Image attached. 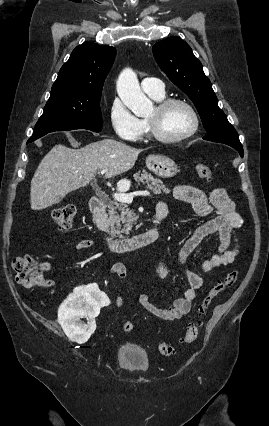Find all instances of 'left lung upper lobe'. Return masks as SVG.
<instances>
[{
    "label": "left lung upper lobe",
    "instance_id": "5c2ea615",
    "mask_svg": "<svg viewBox=\"0 0 269 426\" xmlns=\"http://www.w3.org/2000/svg\"><path fill=\"white\" fill-rule=\"evenodd\" d=\"M152 50L160 68L193 101L208 132L206 139L240 143L237 131L218 107L211 82L190 46L178 37H169L156 43Z\"/></svg>",
    "mask_w": 269,
    "mask_h": 426
}]
</instances>
